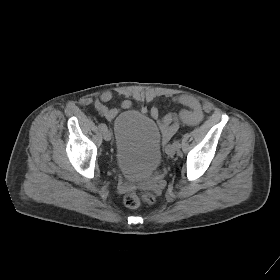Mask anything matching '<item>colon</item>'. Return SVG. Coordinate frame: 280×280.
<instances>
[{
  "instance_id": "1",
  "label": "colon",
  "mask_w": 280,
  "mask_h": 280,
  "mask_svg": "<svg viewBox=\"0 0 280 280\" xmlns=\"http://www.w3.org/2000/svg\"><path fill=\"white\" fill-rule=\"evenodd\" d=\"M142 202L152 204L155 202V197L152 194H139L130 192L124 197V204L129 208H137Z\"/></svg>"
}]
</instances>
